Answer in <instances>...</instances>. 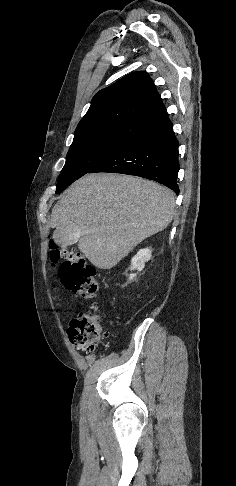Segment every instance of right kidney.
Wrapping results in <instances>:
<instances>
[{"label": "right kidney", "mask_w": 236, "mask_h": 486, "mask_svg": "<svg viewBox=\"0 0 236 486\" xmlns=\"http://www.w3.org/2000/svg\"><path fill=\"white\" fill-rule=\"evenodd\" d=\"M151 250L146 248V249H141L137 252V254L132 258L131 260V266L130 270H137L141 271L145 267V263L148 262L151 259ZM136 273H132L129 275V280L134 281L136 280Z\"/></svg>", "instance_id": "right-kidney-1"}]
</instances>
